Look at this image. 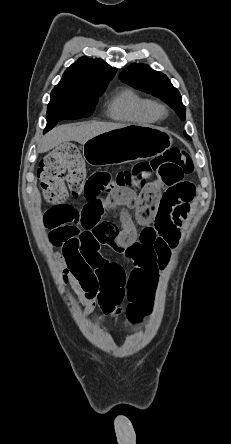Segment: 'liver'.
<instances>
[{
    "instance_id": "obj_1",
    "label": "liver",
    "mask_w": 231,
    "mask_h": 444,
    "mask_svg": "<svg viewBox=\"0 0 231 444\" xmlns=\"http://www.w3.org/2000/svg\"><path fill=\"white\" fill-rule=\"evenodd\" d=\"M125 126L127 125L95 121L78 125H61L54 128L43 138L38 151L40 153L48 152L49 150L69 141H75L80 144H84L85 142L99 134L118 128H123Z\"/></svg>"
}]
</instances>
